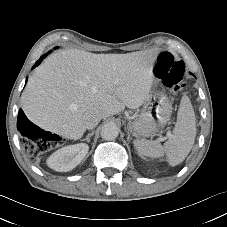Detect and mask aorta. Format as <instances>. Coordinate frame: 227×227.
Wrapping results in <instances>:
<instances>
[{"label":"aorta","mask_w":227,"mask_h":227,"mask_svg":"<svg viewBox=\"0 0 227 227\" xmlns=\"http://www.w3.org/2000/svg\"><path fill=\"white\" fill-rule=\"evenodd\" d=\"M119 134V128L117 127L116 124L113 123H107L103 125L101 129V137L104 140H114Z\"/></svg>","instance_id":"aorta-1"}]
</instances>
